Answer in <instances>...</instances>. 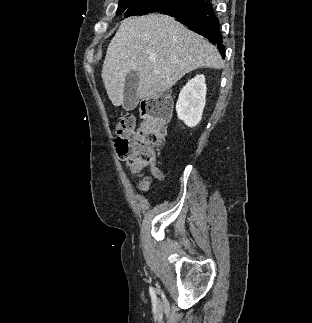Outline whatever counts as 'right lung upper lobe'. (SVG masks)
Wrapping results in <instances>:
<instances>
[{
	"label": "right lung upper lobe",
	"mask_w": 312,
	"mask_h": 323,
	"mask_svg": "<svg viewBox=\"0 0 312 323\" xmlns=\"http://www.w3.org/2000/svg\"><path fill=\"white\" fill-rule=\"evenodd\" d=\"M172 11V10H171ZM171 11H166L165 13L171 12Z\"/></svg>",
	"instance_id": "obj_1"
}]
</instances>
